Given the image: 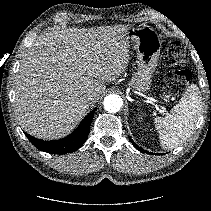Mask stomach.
<instances>
[{
  "label": "stomach",
  "instance_id": "obj_1",
  "mask_svg": "<svg viewBox=\"0 0 211 211\" xmlns=\"http://www.w3.org/2000/svg\"><path fill=\"white\" fill-rule=\"evenodd\" d=\"M126 43L137 53V71L129 87L140 93L149 91L153 73L158 64L161 41L152 28H130L126 32Z\"/></svg>",
  "mask_w": 211,
  "mask_h": 211
}]
</instances>
